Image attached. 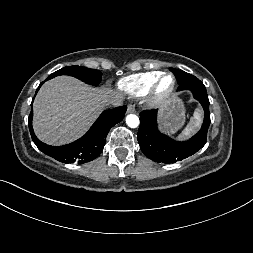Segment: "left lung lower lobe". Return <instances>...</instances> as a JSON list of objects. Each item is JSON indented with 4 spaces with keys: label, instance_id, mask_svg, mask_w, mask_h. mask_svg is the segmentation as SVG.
<instances>
[{
    "label": "left lung lower lobe",
    "instance_id": "left-lung-lower-lobe-1",
    "mask_svg": "<svg viewBox=\"0 0 253 253\" xmlns=\"http://www.w3.org/2000/svg\"><path fill=\"white\" fill-rule=\"evenodd\" d=\"M190 90L205 112L201 130L191 139L178 142L160 133L157 128V111L149 110L140 113L138 142L142 152L151 160L166 164L181 161L197 151L206 143L207 131L210 125L209 99L202 81L196 77L179 85L178 90Z\"/></svg>",
    "mask_w": 253,
    "mask_h": 253
}]
</instances>
